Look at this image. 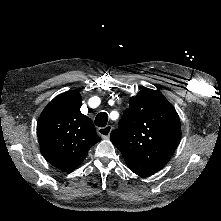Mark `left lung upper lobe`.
Instances as JSON below:
<instances>
[{
    "mask_svg": "<svg viewBox=\"0 0 221 221\" xmlns=\"http://www.w3.org/2000/svg\"><path fill=\"white\" fill-rule=\"evenodd\" d=\"M181 138L175 108L157 90L142 89L129 101L111 142L120 150L129 169L149 176L161 170Z\"/></svg>",
    "mask_w": 221,
    "mask_h": 221,
    "instance_id": "left-lung-upper-lobe-1",
    "label": "left lung upper lobe"
}]
</instances>
